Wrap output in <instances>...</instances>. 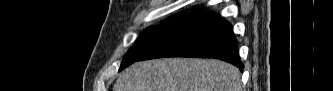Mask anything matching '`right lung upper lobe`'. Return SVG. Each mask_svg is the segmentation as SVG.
I'll return each instance as SVG.
<instances>
[{"label":"right lung upper lobe","instance_id":"1","mask_svg":"<svg viewBox=\"0 0 333 91\" xmlns=\"http://www.w3.org/2000/svg\"><path fill=\"white\" fill-rule=\"evenodd\" d=\"M193 18H195V17H193V16H185V17H181L180 19H186V20H191V19H193Z\"/></svg>","mask_w":333,"mask_h":91}]
</instances>
